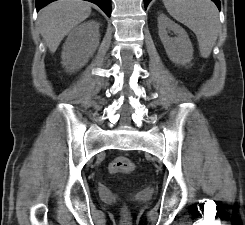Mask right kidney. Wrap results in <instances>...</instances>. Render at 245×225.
<instances>
[{"label":"right kidney","mask_w":245,"mask_h":225,"mask_svg":"<svg viewBox=\"0 0 245 225\" xmlns=\"http://www.w3.org/2000/svg\"><path fill=\"white\" fill-rule=\"evenodd\" d=\"M99 23L88 21L73 29L63 46L62 64L67 72L82 68L99 46Z\"/></svg>","instance_id":"ca27d5eb"}]
</instances>
